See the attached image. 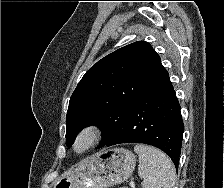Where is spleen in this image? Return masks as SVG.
Segmentation results:
<instances>
[{
  "mask_svg": "<svg viewBox=\"0 0 224 188\" xmlns=\"http://www.w3.org/2000/svg\"><path fill=\"white\" fill-rule=\"evenodd\" d=\"M134 151L139 155L142 188H175L176 171L165 153L145 144H136Z\"/></svg>",
  "mask_w": 224,
  "mask_h": 188,
  "instance_id": "3e777b00",
  "label": "spleen"
}]
</instances>
